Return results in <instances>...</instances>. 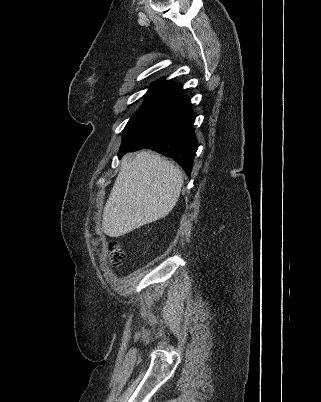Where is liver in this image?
I'll return each instance as SVG.
<instances>
[{
	"instance_id": "obj_1",
	"label": "liver",
	"mask_w": 321,
	"mask_h": 402,
	"mask_svg": "<svg viewBox=\"0 0 321 402\" xmlns=\"http://www.w3.org/2000/svg\"><path fill=\"white\" fill-rule=\"evenodd\" d=\"M182 185L181 170L160 155L141 151L134 158L124 156L104 207L103 232L119 237L164 218L176 205Z\"/></svg>"
}]
</instances>
